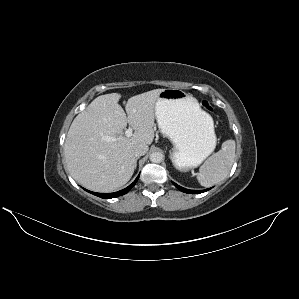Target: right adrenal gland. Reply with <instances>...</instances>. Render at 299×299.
<instances>
[{
  "mask_svg": "<svg viewBox=\"0 0 299 299\" xmlns=\"http://www.w3.org/2000/svg\"><path fill=\"white\" fill-rule=\"evenodd\" d=\"M139 159V157H137L136 158V160H135V169H136V167H137V160Z\"/></svg>",
  "mask_w": 299,
  "mask_h": 299,
  "instance_id": "1",
  "label": "right adrenal gland"
}]
</instances>
